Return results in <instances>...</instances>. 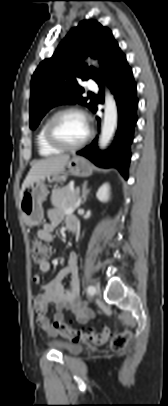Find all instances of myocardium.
Wrapping results in <instances>:
<instances>
[{
  "label": "myocardium",
  "instance_id": "myocardium-1",
  "mask_svg": "<svg viewBox=\"0 0 168 406\" xmlns=\"http://www.w3.org/2000/svg\"><path fill=\"white\" fill-rule=\"evenodd\" d=\"M67 113H77L83 116L87 122L88 125V133L87 135L79 142L74 143V144H66L61 142L55 135L54 133V125L59 117H61L64 114ZM93 130L89 124V119L87 114L80 108L78 107H66L63 109L58 110L55 112L47 121L46 128H45V138L46 141L53 147L61 149V150H74L82 147L85 145L90 138L92 137Z\"/></svg>",
  "mask_w": 168,
  "mask_h": 406
}]
</instances>
